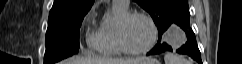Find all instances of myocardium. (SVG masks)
<instances>
[{
  "label": "myocardium",
  "mask_w": 242,
  "mask_h": 64,
  "mask_svg": "<svg viewBox=\"0 0 242 64\" xmlns=\"http://www.w3.org/2000/svg\"><path fill=\"white\" fill-rule=\"evenodd\" d=\"M134 17L144 18L149 23L151 30H152V35H151V39H150L149 43L144 48H141V49H132L131 47H129L127 45V43L125 41V36H124L125 26H126L127 22ZM157 37H158L157 25H156L155 21L153 20V18L150 15H148L147 13L140 12V11L127 12L118 21L117 41H118V45H119L121 51L126 54L141 55V54L147 53L154 47V45L157 41Z\"/></svg>",
  "instance_id": "f54148a6"
}]
</instances>
